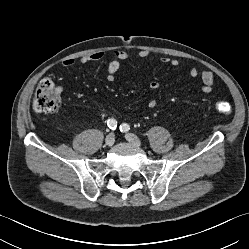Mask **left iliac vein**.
Segmentation results:
<instances>
[{
  "mask_svg": "<svg viewBox=\"0 0 249 249\" xmlns=\"http://www.w3.org/2000/svg\"><path fill=\"white\" fill-rule=\"evenodd\" d=\"M125 138L128 142L134 144L137 147L141 146V141L140 139L133 133H128L125 135Z\"/></svg>",
  "mask_w": 249,
  "mask_h": 249,
  "instance_id": "left-iliac-vein-1",
  "label": "left iliac vein"
}]
</instances>
